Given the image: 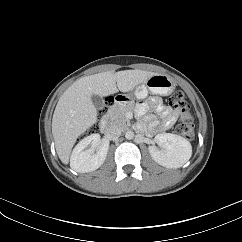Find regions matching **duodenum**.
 Returning <instances> with one entry per match:
<instances>
[{
	"instance_id": "obj_1",
	"label": "duodenum",
	"mask_w": 242,
	"mask_h": 242,
	"mask_svg": "<svg viewBox=\"0 0 242 242\" xmlns=\"http://www.w3.org/2000/svg\"><path fill=\"white\" fill-rule=\"evenodd\" d=\"M117 101L121 100L120 97L116 98ZM100 131L102 133H107L109 131V125H108V118L107 116L103 117V119L100 122Z\"/></svg>"
}]
</instances>
